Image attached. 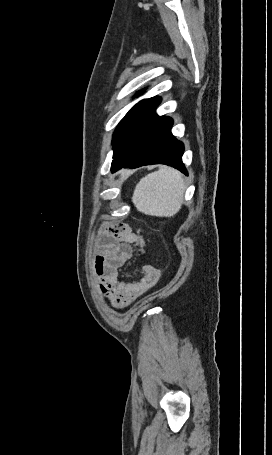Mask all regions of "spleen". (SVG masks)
<instances>
[{
  "label": "spleen",
  "instance_id": "1",
  "mask_svg": "<svg viewBox=\"0 0 272 455\" xmlns=\"http://www.w3.org/2000/svg\"><path fill=\"white\" fill-rule=\"evenodd\" d=\"M184 191L182 174L163 166L139 181L132 202L137 210L144 214L171 217L180 210Z\"/></svg>",
  "mask_w": 272,
  "mask_h": 455
}]
</instances>
